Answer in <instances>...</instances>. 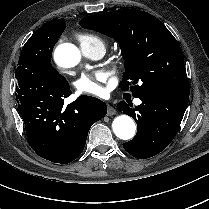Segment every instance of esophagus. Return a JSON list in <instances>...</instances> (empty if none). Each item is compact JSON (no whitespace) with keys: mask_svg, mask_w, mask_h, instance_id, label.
<instances>
[{"mask_svg":"<svg viewBox=\"0 0 209 209\" xmlns=\"http://www.w3.org/2000/svg\"><path fill=\"white\" fill-rule=\"evenodd\" d=\"M115 114H116V109L113 106L108 105L107 115L112 116V115H115Z\"/></svg>","mask_w":209,"mask_h":209,"instance_id":"esophagus-1","label":"esophagus"}]
</instances>
